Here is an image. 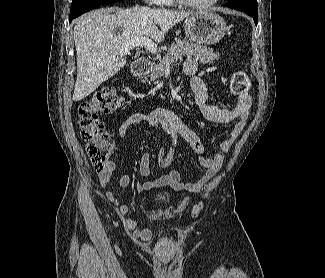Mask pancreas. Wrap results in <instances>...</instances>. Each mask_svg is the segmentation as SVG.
Instances as JSON below:
<instances>
[{"label": "pancreas", "instance_id": "cf45deb5", "mask_svg": "<svg viewBox=\"0 0 325 278\" xmlns=\"http://www.w3.org/2000/svg\"><path fill=\"white\" fill-rule=\"evenodd\" d=\"M193 57L201 63H213L219 59L220 55L212 48H207L201 44L189 43L188 41L176 39L169 48L165 57L158 63H153L149 78L151 81L162 77L165 71L172 66L176 61L182 60L183 57Z\"/></svg>", "mask_w": 325, "mask_h": 278}]
</instances>
